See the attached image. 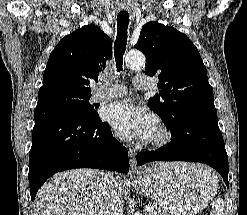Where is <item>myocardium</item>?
<instances>
[{"mask_svg": "<svg viewBox=\"0 0 247 215\" xmlns=\"http://www.w3.org/2000/svg\"><path fill=\"white\" fill-rule=\"evenodd\" d=\"M170 140V132L169 130L163 126L160 125L156 129L154 135L151 137L149 143L151 146L159 148L165 146Z\"/></svg>", "mask_w": 247, "mask_h": 215, "instance_id": "myocardium-1", "label": "myocardium"}]
</instances>
